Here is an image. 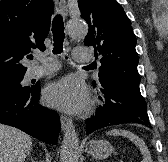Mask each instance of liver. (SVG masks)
<instances>
[{
	"instance_id": "liver-1",
	"label": "liver",
	"mask_w": 168,
	"mask_h": 162,
	"mask_svg": "<svg viewBox=\"0 0 168 162\" xmlns=\"http://www.w3.org/2000/svg\"><path fill=\"white\" fill-rule=\"evenodd\" d=\"M32 149L29 135L0 124V162H24Z\"/></svg>"
}]
</instances>
